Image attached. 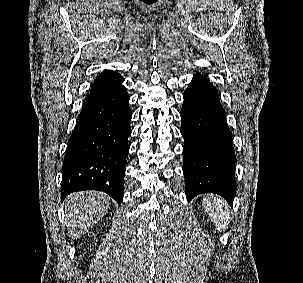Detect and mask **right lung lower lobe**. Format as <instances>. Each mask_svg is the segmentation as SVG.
<instances>
[{"label": "right lung lower lobe", "instance_id": "right-lung-lower-lobe-1", "mask_svg": "<svg viewBox=\"0 0 303 283\" xmlns=\"http://www.w3.org/2000/svg\"><path fill=\"white\" fill-rule=\"evenodd\" d=\"M120 74L95 81L68 140L62 197L82 190L124 196L125 162L131 135L129 95Z\"/></svg>", "mask_w": 303, "mask_h": 283}]
</instances>
